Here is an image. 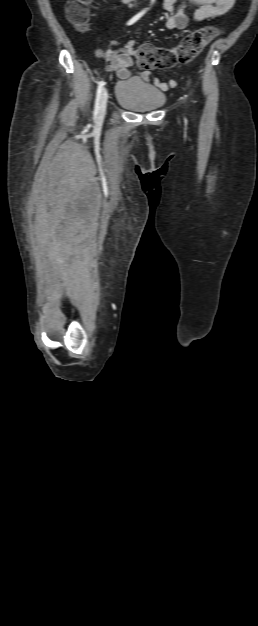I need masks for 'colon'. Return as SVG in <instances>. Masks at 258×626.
<instances>
[{"instance_id": "obj_1", "label": "colon", "mask_w": 258, "mask_h": 626, "mask_svg": "<svg viewBox=\"0 0 258 626\" xmlns=\"http://www.w3.org/2000/svg\"><path fill=\"white\" fill-rule=\"evenodd\" d=\"M89 0H69L67 16L69 21L78 29L84 30L88 22ZM218 30L214 27L197 29L187 35L174 49L162 51L150 44L135 46L133 41L126 45V51L133 55L142 68H168L176 62H187L195 57L205 45L212 41Z\"/></svg>"}]
</instances>
